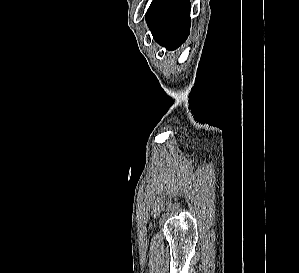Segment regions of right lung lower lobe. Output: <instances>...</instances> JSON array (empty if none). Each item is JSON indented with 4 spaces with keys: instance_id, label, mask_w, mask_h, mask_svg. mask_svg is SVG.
Listing matches in <instances>:
<instances>
[{
    "instance_id": "1",
    "label": "right lung lower lobe",
    "mask_w": 299,
    "mask_h": 273,
    "mask_svg": "<svg viewBox=\"0 0 299 273\" xmlns=\"http://www.w3.org/2000/svg\"><path fill=\"white\" fill-rule=\"evenodd\" d=\"M146 20L156 42L175 50L190 33L189 0H153Z\"/></svg>"
}]
</instances>
